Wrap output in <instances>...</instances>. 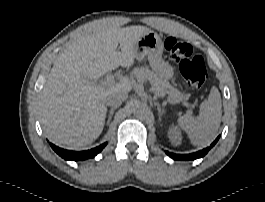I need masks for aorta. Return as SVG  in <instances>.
Returning <instances> with one entry per match:
<instances>
[{
  "instance_id": "obj_1",
  "label": "aorta",
  "mask_w": 265,
  "mask_h": 202,
  "mask_svg": "<svg viewBox=\"0 0 265 202\" xmlns=\"http://www.w3.org/2000/svg\"><path fill=\"white\" fill-rule=\"evenodd\" d=\"M149 113V108L144 103H138L134 108V114L139 118H146Z\"/></svg>"
}]
</instances>
